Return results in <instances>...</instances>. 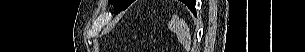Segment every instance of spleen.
I'll return each instance as SVG.
<instances>
[{
    "label": "spleen",
    "instance_id": "spleen-1",
    "mask_svg": "<svg viewBox=\"0 0 305 52\" xmlns=\"http://www.w3.org/2000/svg\"><path fill=\"white\" fill-rule=\"evenodd\" d=\"M181 24L182 23L177 19L172 20V27H173L174 31L176 32L178 38L181 35Z\"/></svg>",
    "mask_w": 305,
    "mask_h": 52
}]
</instances>
